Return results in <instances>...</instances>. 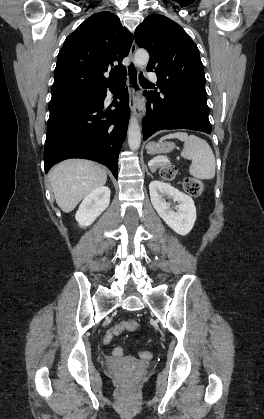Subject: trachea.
Returning <instances> with one entry per match:
<instances>
[{"label": "trachea", "mask_w": 264, "mask_h": 419, "mask_svg": "<svg viewBox=\"0 0 264 419\" xmlns=\"http://www.w3.org/2000/svg\"><path fill=\"white\" fill-rule=\"evenodd\" d=\"M139 81L141 84L151 85V83L143 76L142 73L139 74ZM125 80H122L121 84H124Z\"/></svg>", "instance_id": "trachea-1"}]
</instances>
